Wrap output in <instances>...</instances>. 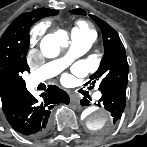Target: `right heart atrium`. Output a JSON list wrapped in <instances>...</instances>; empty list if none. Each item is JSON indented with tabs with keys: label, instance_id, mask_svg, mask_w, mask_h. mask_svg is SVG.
Listing matches in <instances>:
<instances>
[{
	"label": "right heart atrium",
	"instance_id": "right-heart-atrium-1",
	"mask_svg": "<svg viewBox=\"0 0 147 147\" xmlns=\"http://www.w3.org/2000/svg\"><path fill=\"white\" fill-rule=\"evenodd\" d=\"M41 35L40 31L38 29L33 30V38L38 39Z\"/></svg>",
	"mask_w": 147,
	"mask_h": 147
}]
</instances>
